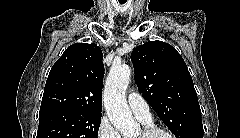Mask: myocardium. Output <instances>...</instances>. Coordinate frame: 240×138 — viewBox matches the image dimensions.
Instances as JSON below:
<instances>
[{
    "instance_id": "1",
    "label": "myocardium",
    "mask_w": 240,
    "mask_h": 138,
    "mask_svg": "<svg viewBox=\"0 0 240 138\" xmlns=\"http://www.w3.org/2000/svg\"><path fill=\"white\" fill-rule=\"evenodd\" d=\"M141 133H142V138H153V136L157 134H161L166 138H171L170 132H168L162 127H159L153 124L143 126V128L141 129Z\"/></svg>"
}]
</instances>
